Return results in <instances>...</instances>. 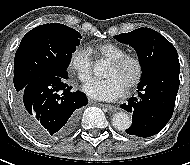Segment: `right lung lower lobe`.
<instances>
[{
	"label": "right lung lower lobe",
	"instance_id": "1",
	"mask_svg": "<svg viewBox=\"0 0 190 165\" xmlns=\"http://www.w3.org/2000/svg\"><path fill=\"white\" fill-rule=\"evenodd\" d=\"M67 77L44 76L28 83L16 99V110L25 128L41 141L70 135L79 109L88 103L85 94L71 91Z\"/></svg>",
	"mask_w": 190,
	"mask_h": 165
}]
</instances>
